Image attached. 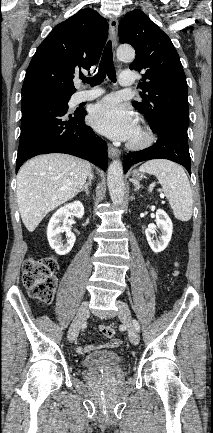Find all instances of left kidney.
<instances>
[{
	"mask_svg": "<svg viewBox=\"0 0 213 433\" xmlns=\"http://www.w3.org/2000/svg\"><path fill=\"white\" fill-rule=\"evenodd\" d=\"M156 225L161 231V236H159V239L153 240L152 234L155 233V228H147L145 230V234L152 251L159 253L165 250V248L168 246L173 232L172 221L168 214L162 209H158L156 211Z\"/></svg>",
	"mask_w": 213,
	"mask_h": 433,
	"instance_id": "5707ae66",
	"label": "left kidney"
}]
</instances>
